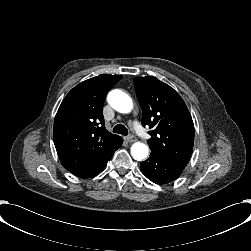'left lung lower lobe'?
<instances>
[{
  "label": "left lung lower lobe",
  "mask_w": 251,
  "mask_h": 251,
  "mask_svg": "<svg viewBox=\"0 0 251 251\" xmlns=\"http://www.w3.org/2000/svg\"><path fill=\"white\" fill-rule=\"evenodd\" d=\"M186 165L166 160L153 153L150 157L141 162L142 173L156 184H166L177 179Z\"/></svg>",
  "instance_id": "1"
}]
</instances>
